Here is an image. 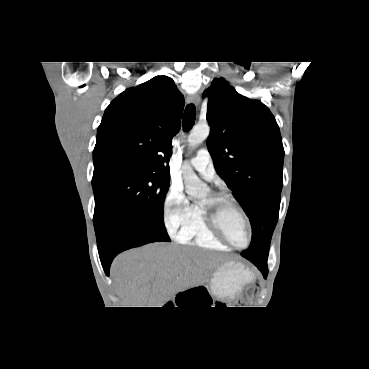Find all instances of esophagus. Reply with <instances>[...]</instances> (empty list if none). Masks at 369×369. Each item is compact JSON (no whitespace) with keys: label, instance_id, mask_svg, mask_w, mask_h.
Returning <instances> with one entry per match:
<instances>
[{"label":"esophagus","instance_id":"esophagus-1","mask_svg":"<svg viewBox=\"0 0 369 369\" xmlns=\"http://www.w3.org/2000/svg\"><path fill=\"white\" fill-rule=\"evenodd\" d=\"M187 102L188 103H192L195 106H198L199 103H200V96H199V94L196 93V94L189 95L187 97Z\"/></svg>","mask_w":369,"mask_h":369}]
</instances>
